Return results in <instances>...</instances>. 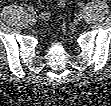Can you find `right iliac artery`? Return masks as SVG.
<instances>
[{"instance_id":"1","label":"right iliac artery","mask_w":111,"mask_h":106,"mask_svg":"<svg viewBox=\"0 0 111 106\" xmlns=\"http://www.w3.org/2000/svg\"><path fill=\"white\" fill-rule=\"evenodd\" d=\"M28 11L33 14L34 13V8L33 7H29Z\"/></svg>"}]
</instances>
